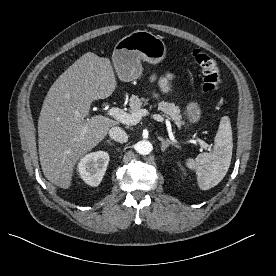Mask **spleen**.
I'll return each instance as SVG.
<instances>
[{
	"label": "spleen",
	"instance_id": "3e777b00",
	"mask_svg": "<svg viewBox=\"0 0 276 276\" xmlns=\"http://www.w3.org/2000/svg\"><path fill=\"white\" fill-rule=\"evenodd\" d=\"M214 142L212 152L201 153L195 159L186 160V166L195 170L201 190H208L216 186L225 177L230 167L233 139L228 116L221 118Z\"/></svg>",
	"mask_w": 276,
	"mask_h": 276
}]
</instances>
